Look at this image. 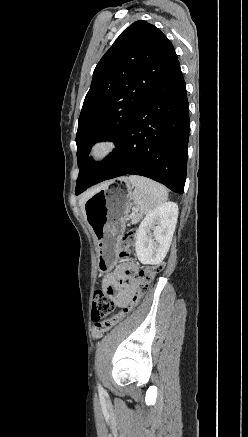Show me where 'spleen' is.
<instances>
[{
    "label": "spleen",
    "mask_w": 248,
    "mask_h": 437,
    "mask_svg": "<svg viewBox=\"0 0 248 437\" xmlns=\"http://www.w3.org/2000/svg\"><path fill=\"white\" fill-rule=\"evenodd\" d=\"M128 181L135 187L132 193L135 214L131 216L133 224L140 221L143 215L148 214L168 199V192L161 184L142 176L131 175Z\"/></svg>",
    "instance_id": "obj_1"
}]
</instances>
